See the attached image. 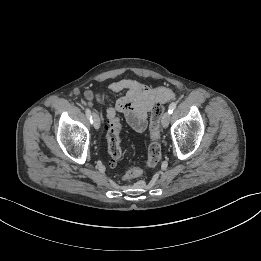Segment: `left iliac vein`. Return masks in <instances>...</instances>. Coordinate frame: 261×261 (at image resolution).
<instances>
[{
  "label": "left iliac vein",
  "mask_w": 261,
  "mask_h": 261,
  "mask_svg": "<svg viewBox=\"0 0 261 261\" xmlns=\"http://www.w3.org/2000/svg\"><path fill=\"white\" fill-rule=\"evenodd\" d=\"M169 121H170V113L168 111H166L163 116H162V120H161V123H162V126L164 128L168 127L169 125Z\"/></svg>",
  "instance_id": "left-iliac-vein-1"
}]
</instances>
